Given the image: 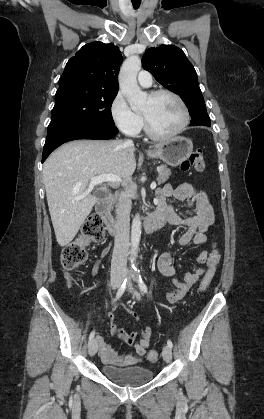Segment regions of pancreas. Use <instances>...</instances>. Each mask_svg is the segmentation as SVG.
<instances>
[{
  "instance_id": "pancreas-1",
  "label": "pancreas",
  "mask_w": 264,
  "mask_h": 419,
  "mask_svg": "<svg viewBox=\"0 0 264 419\" xmlns=\"http://www.w3.org/2000/svg\"><path fill=\"white\" fill-rule=\"evenodd\" d=\"M158 173H159V176H158V178H157V181H158V184L160 185V184H163L164 182H166L167 180H168V178H169V176H170V174H171V172H170V169L169 168H167V166L166 165H161L159 168H158ZM133 195L132 194H128L127 195V199H129L130 197H132Z\"/></svg>"
}]
</instances>
